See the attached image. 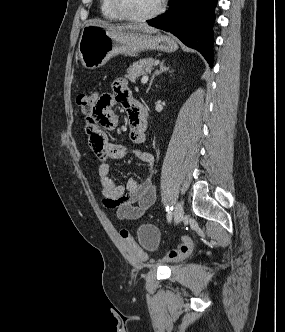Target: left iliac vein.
I'll list each match as a JSON object with an SVG mask.
<instances>
[{
    "mask_svg": "<svg viewBox=\"0 0 285 332\" xmlns=\"http://www.w3.org/2000/svg\"><path fill=\"white\" fill-rule=\"evenodd\" d=\"M184 217V210H183V206L180 202H177L176 206H175V210H174V220L175 223L178 224L182 221Z\"/></svg>",
    "mask_w": 285,
    "mask_h": 332,
    "instance_id": "left-iliac-vein-1",
    "label": "left iliac vein"
}]
</instances>
